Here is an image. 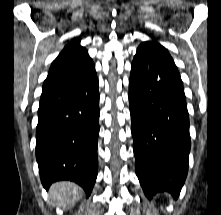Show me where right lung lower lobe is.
Segmentation results:
<instances>
[{"mask_svg":"<svg viewBox=\"0 0 221 215\" xmlns=\"http://www.w3.org/2000/svg\"><path fill=\"white\" fill-rule=\"evenodd\" d=\"M99 91L95 70L41 95L36 129V159L48 190L70 180L91 194L97 177Z\"/></svg>","mask_w":221,"mask_h":215,"instance_id":"right-lung-lower-lobe-1","label":"right lung lower lobe"}]
</instances>
